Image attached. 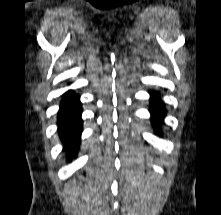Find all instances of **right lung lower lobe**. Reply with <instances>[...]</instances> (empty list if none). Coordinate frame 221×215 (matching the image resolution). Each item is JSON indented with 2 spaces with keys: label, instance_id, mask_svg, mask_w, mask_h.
I'll return each mask as SVG.
<instances>
[{
  "label": "right lung lower lobe",
  "instance_id": "obj_1",
  "mask_svg": "<svg viewBox=\"0 0 221 215\" xmlns=\"http://www.w3.org/2000/svg\"><path fill=\"white\" fill-rule=\"evenodd\" d=\"M81 103L72 91L64 94L58 112V133L71 158L79 149L82 132Z\"/></svg>",
  "mask_w": 221,
  "mask_h": 215
}]
</instances>
